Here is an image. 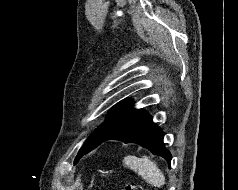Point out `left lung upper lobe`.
<instances>
[{"label": "left lung upper lobe", "mask_w": 238, "mask_h": 190, "mask_svg": "<svg viewBox=\"0 0 238 190\" xmlns=\"http://www.w3.org/2000/svg\"><path fill=\"white\" fill-rule=\"evenodd\" d=\"M133 101L131 98H126L117 103L109 112L105 122L101 124L86 140L85 144L79 150L75 163L91 149L97 147L102 143L103 138L112 129L113 125L120 118V116L132 106Z\"/></svg>", "instance_id": "5c2ea615"}]
</instances>
